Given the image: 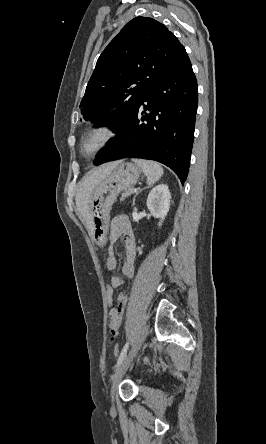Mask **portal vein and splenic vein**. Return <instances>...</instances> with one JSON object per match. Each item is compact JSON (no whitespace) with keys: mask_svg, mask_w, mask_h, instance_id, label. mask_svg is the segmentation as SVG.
I'll return each mask as SVG.
<instances>
[{"mask_svg":"<svg viewBox=\"0 0 266 444\" xmlns=\"http://www.w3.org/2000/svg\"><path fill=\"white\" fill-rule=\"evenodd\" d=\"M134 192H137V189H134Z\"/></svg>","mask_w":266,"mask_h":444,"instance_id":"1","label":"portal vein and splenic vein"}]
</instances>
